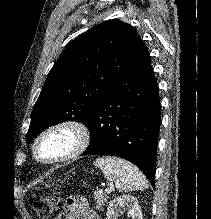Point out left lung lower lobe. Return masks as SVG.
Returning a JSON list of instances; mask_svg holds the SVG:
<instances>
[{"mask_svg": "<svg viewBox=\"0 0 211 219\" xmlns=\"http://www.w3.org/2000/svg\"><path fill=\"white\" fill-rule=\"evenodd\" d=\"M160 112L158 84L145 46L96 105L86 123L91 138L82 155L124 158L154 187Z\"/></svg>", "mask_w": 211, "mask_h": 219, "instance_id": "obj_1", "label": "left lung lower lobe"}]
</instances>
